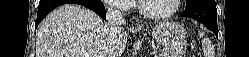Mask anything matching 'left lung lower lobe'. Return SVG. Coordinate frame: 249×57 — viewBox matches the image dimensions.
Listing matches in <instances>:
<instances>
[{
  "instance_id": "0a47b994",
  "label": "left lung lower lobe",
  "mask_w": 249,
  "mask_h": 57,
  "mask_svg": "<svg viewBox=\"0 0 249 57\" xmlns=\"http://www.w3.org/2000/svg\"><path fill=\"white\" fill-rule=\"evenodd\" d=\"M180 16L193 18L201 22L218 36L215 0H198L193 4L186 5L185 11Z\"/></svg>"
}]
</instances>
